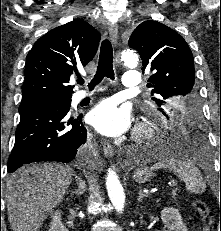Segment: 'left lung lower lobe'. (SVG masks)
<instances>
[{"instance_id":"0a47b994","label":"left lung lower lobe","mask_w":221,"mask_h":231,"mask_svg":"<svg viewBox=\"0 0 221 231\" xmlns=\"http://www.w3.org/2000/svg\"><path fill=\"white\" fill-rule=\"evenodd\" d=\"M171 138L173 142L177 146L182 147V149L194 150L193 152H198L199 154L204 152L202 146L204 134L201 129V120L198 115L190 117L189 124L182 134L173 132Z\"/></svg>"}]
</instances>
